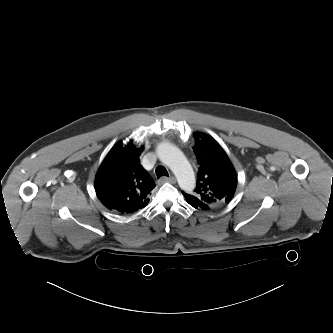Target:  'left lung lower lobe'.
<instances>
[{
  "instance_id": "obj_1",
  "label": "left lung lower lobe",
  "mask_w": 333,
  "mask_h": 333,
  "mask_svg": "<svg viewBox=\"0 0 333 333\" xmlns=\"http://www.w3.org/2000/svg\"><path fill=\"white\" fill-rule=\"evenodd\" d=\"M187 202L192 206V207H194V208H196V209H198V208H200V209H203V210H208L209 209V207L207 206V205H205V204H203V203H194V202H192V201H190V200H188L187 199Z\"/></svg>"
}]
</instances>
